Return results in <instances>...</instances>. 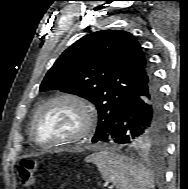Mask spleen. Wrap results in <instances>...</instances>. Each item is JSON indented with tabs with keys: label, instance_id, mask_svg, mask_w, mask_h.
<instances>
[{
	"label": "spleen",
	"instance_id": "obj_1",
	"mask_svg": "<svg viewBox=\"0 0 188 189\" xmlns=\"http://www.w3.org/2000/svg\"><path fill=\"white\" fill-rule=\"evenodd\" d=\"M86 162L95 164L106 182L117 189H151L154 187L152 174L132 160L102 150L86 157Z\"/></svg>",
	"mask_w": 188,
	"mask_h": 189
}]
</instances>
